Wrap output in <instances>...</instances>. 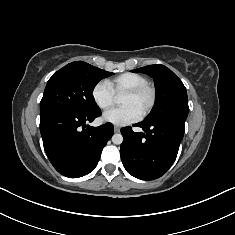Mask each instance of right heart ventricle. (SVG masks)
Listing matches in <instances>:
<instances>
[{
    "label": "right heart ventricle",
    "instance_id": "e07e8e85",
    "mask_svg": "<svg viewBox=\"0 0 235 235\" xmlns=\"http://www.w3.org/2000/svg\"><path fill=\"white\" fill-rule=\"evenodd\" d=\"M110 87L115 94L123 93L124 91L148 83L146 77L134 72H126L120 74L108 81Z\"/></svg>",
    "mask_w": 235,
    "mask_h": 235
}]
</instances>
